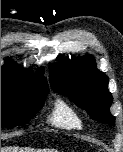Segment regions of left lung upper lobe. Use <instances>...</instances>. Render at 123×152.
<instances>
[{
	"mask_svg": "<svg viewBox=\"0 0 123 152\" xmlns=\"http://www.w3.org/2000/svg\"><path fill=\"white\" fill-rule=\"evenodd\" d=\"M50 83L55 92L68 96L93 119L114 125L109 111L113 98L107 89L108 77L96 68L93 56L51 65Z\"/></svg>",
	"mask_w": 123,
	"mask_h": 152,
	"instance_id": "obj_1",
	"label": "left lung upper lobe"
}]
</instances>
